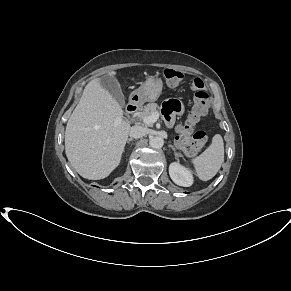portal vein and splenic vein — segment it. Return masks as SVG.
<instances>
[{
    "label": "portal vein and splenic vein",
    "instance_id": "1",
    "mask_svg": "<svg viewBox=\"0 0 291 291\" xmlns=\"http://www.w3.org/2000/svg\"><path fill=\"white\" fill-rule=\"evenodd\" d=\"M159 118V113L158 112H153L150 116L148 117H145L143 119V122L146 124V125H151L153 123H155ZM121 122V119H116L115 120V126L119 125Z\"/></svg>",
    "mask_w": 291,
    "mask_h": 291
}]
</instances>
